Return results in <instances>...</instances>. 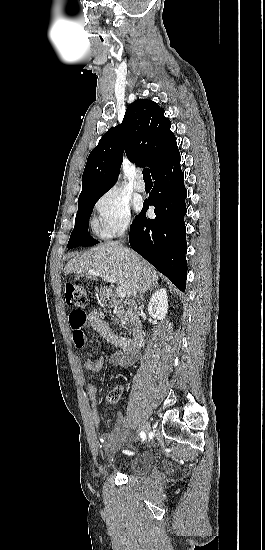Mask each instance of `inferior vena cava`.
I'll return each instance as SVG.
<instances>
[{"label":"inferior vena cava","instance_id":"obj_1","mask_svg":"<svg viewBox=\"0 0 265 550\" xmlns=\"http://www.w3.org/2000/svg\"><path fill=\"white\" fill-rule=\"evenodd\" d=\"M125 232H126V231L123 230L120 236H121V237H124V236H125ZM136 293H137V292L135 291V292H134V296H135V297H136Z\"/></svg>","mask_w":265,"mask_h":550}]
</instances>
